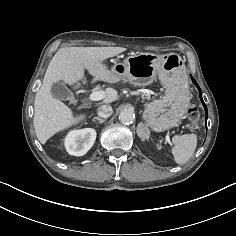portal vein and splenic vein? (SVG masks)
Masks as SVG:
<instances>
[{
    "mask_svg": "<svg viewBox=\"0 0 236 236\" xmlns=\"http://www.w3.org/2000/svg\"><path fill=\"white\" fill-rule=\"evenodd\" d=\"M104 98H105V92L104 91H95V92H92L89 95V99L91 101H99V100H102ZM166 139L169 141V137H167Z\"/></svg>",
    "mask_w": 236,
    "mask_h": 236,
    "instance_id": "1",
    "label": "portal vein and splenic vein"
}]
</instances>
